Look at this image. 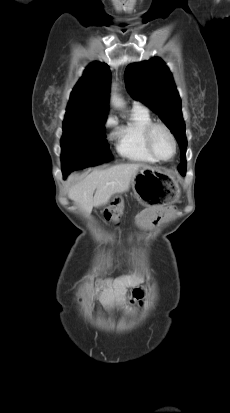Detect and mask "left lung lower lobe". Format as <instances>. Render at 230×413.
Returning <instances> with one entry per match:
<instances>
[{
  "label": "left lung lower lobe",
  "instance_id": "1",
  "mask_svg": "<svg viewBox=\"0 0 230 413\" xmlns=\"http://www.w3.org/2000/svg\"><path fill=\"white\" fill-rule=\"evenodd\" d=\"M181 175L185 176V173H182Z\"/></svg>",
  "mask_w": 230,
  "mask_h": 413
}]
</instances>
